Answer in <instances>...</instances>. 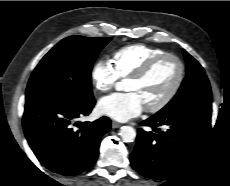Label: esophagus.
I'll use <instances>...</instances> for the list:
<instances>
[{
    "label": "esophagus",
    "instance_id": "34e87169",
    "mask_svg": "<svg viewBox=\"0 0 230 186\" xmlns=\"http://www.w3.org/2000/svg\"><path fill=\"white\" fill-rule=\"evenodd\" d=\"M119 127H121L120 123L115 122V121L112 122V128H119Z\"/></svg>",
    "mask_w": 230,
    "mask_h": 186
}]
</instances>
